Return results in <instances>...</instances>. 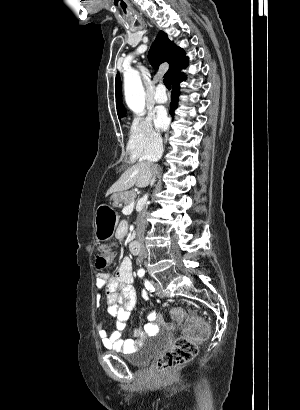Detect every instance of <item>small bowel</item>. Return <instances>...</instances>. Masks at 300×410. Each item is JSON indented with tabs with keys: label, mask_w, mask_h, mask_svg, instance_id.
Instances as JSON below:
<instances>
[{
	"label": "small bowel",
	"mask_w": 300,
	"mask_h": 410,
	"mask_svg": "<svg viewBox=\"0 0 300 410\" xmlns=\"http://www.w3.org/2000/svg\"><path fill=\"white\" fill-rule=\"evenodd\" d=\"M133 280L132 263L129 258L122 260L114 275L106 273L96 274L97 295L106 294L108 313L116 319L115 330L111 333L100 323L97 327L98 336L106 348L124 353L136 350L145 341L156 336L166 326L163 317L153 311L148 315V323L143 329H136L134 331L135 338H123V332L130 313L135 308L137 302ZM142 296L148 299L146 292H143Z\"/></svg>",
	"instance_id": "1"
}]
</instances>
